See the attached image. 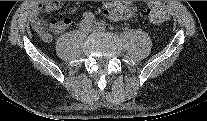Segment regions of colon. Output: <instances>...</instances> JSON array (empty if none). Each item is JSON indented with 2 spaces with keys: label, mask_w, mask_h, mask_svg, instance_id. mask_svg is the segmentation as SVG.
I'll use <instances>...</instances> for the list:
<instances>
[{
  "label": "colon",
  "mask_w": 207,
  "mask_h": 121,
  "mask_svg": "<svg viewBox=\"0 0 207 121\" xmlns=\"http://www.w3.org/2000/svg\"><path fill=\"white\" fill-rule=\"evenodd\" d=\"M146 15L151 22L161 24L169 19L170 9L165 2L151 1L147 5Z\"/></svg>",
  "instance_id": "5ec220e1"
}]
</instances>
